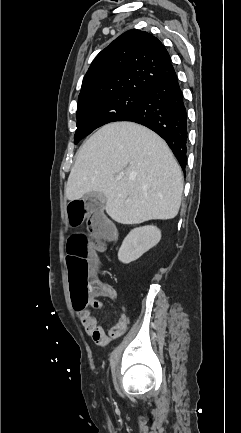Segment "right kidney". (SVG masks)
I'll return each mask as SVG.
<instances>
[{
  "mask_svg": "<svg viewBox=\"0 0 241 433\" xmlns=\"http://www.w3.org/2000/svg\"><path fill=\"white\" fill-rule=\"evenodd\" d=\"M161 239V231L153 225L135 228L129 232L118 252V259L129 264L156 246Z\"/></svg>",
  "mask_w": 241,
  "mask_h": 433,
  "instance_id": "ca27d5eb",
  "label": "right kidney"
}]
</instances>
